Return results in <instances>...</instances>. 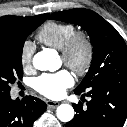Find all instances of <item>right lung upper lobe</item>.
<instances>
[{"label": "right lung upper lobe", "instance_id": "cb5924a9", "mask_svg": "<svg viewBox=\"0 0 127 127\" xmlns=\"http://www.w3.org/2000/svg\"><path fill=\"white\" fill-rule=\"evenodd\" d=\"M48 14H42L33 17H19V16H3L0 17V32L12 30L31 23L39 18H47Z\"/></svg>", "mask_w": 127, "mask_h": 127}]
</instances>
